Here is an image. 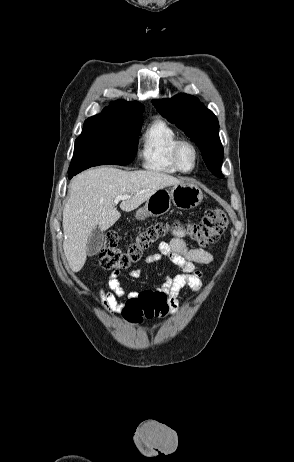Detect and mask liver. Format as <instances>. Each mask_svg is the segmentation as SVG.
<instances>
[{
	"instance_id": "6515ba94",
	"label": "liver",
	"mask_w": 294,
	"mask_h": 462,
	"mask_svg": "<svg viewBox=\"0 0 294 462\" xmlns=\"http://www.w3.org/2000/svg\"><path fill=\"white\" fill-rule=\"evenodd\" d=\"M182 183L157 171H124L113 167L90 169L77 175L69 185V198L63 210V249L73 272L82 269L87 258V240L95 227L102 231L113 226L121 214L115 208L117 196L121 210L130 212L157 190Z\"/></svg>"
}]
</instances>
